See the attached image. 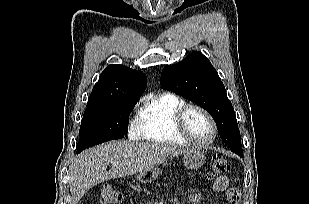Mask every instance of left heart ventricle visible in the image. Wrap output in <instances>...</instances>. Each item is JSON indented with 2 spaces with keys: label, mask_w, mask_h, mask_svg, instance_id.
Segmentation results:
<instances>
[{
  "label": "left heart ventricle",
  "mask_w": 309,
  "mask_h": 204,
  "mask_svg": "<svg viewBox=\"0 0 309 204\" xmlns=\"http://www.w3.org/2000/svg\"><path fill=\"white\" fill-rule=\"evenodd\" d=\"M186 124L190 133L200 141H207L212 136V127L207 118L197 110L187 114Z\"/></svg>",
  "instance_id": "b2bd125f"
}]
</instances>
